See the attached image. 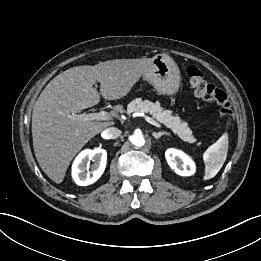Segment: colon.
Returning <instances> with one entry per match:
<instances>
[{"label": "colon", "mask_w": 261, "mask_h": 261, "mask_svg": "<svg viewBox=\"0 0 261 261\" xmlns=\"http://www.w3.org/2000/svg\"><path fill=\"white\" fill-rule=\"evenodd\" d=\"M190 86L195 96L204 101L213 102L220 107V114L224 118L233 116L232 105L227 94L215 85L206 81L204 73L196 66H189L186 69Z\"/></svg>", "instance_id": "1"}]
</instances>
